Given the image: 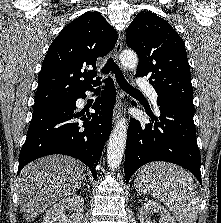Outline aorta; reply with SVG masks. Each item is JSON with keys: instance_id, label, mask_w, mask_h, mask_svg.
<instances>
[{"instance_id": "obj_1", "label": "aorta", "mask_w": 221, "mask_h": 223, "mask_svg": "<svg viewBox=\"0 0 221 223\" xmlns=\"http://www.w3.org/2000/svg\"><path fill=\"white\" fill-rule=\"evenodd\" d=\"M121 64L127 69H135L138 57L134 51L126 50L120 54ZM128 125L126 119L121 118L114 126L107 144V163L111 170L117 169L122 161Z\"/></svg>"}]
</instances>
